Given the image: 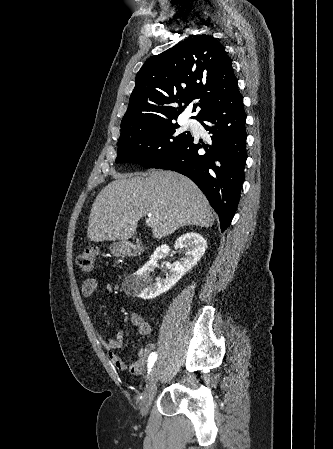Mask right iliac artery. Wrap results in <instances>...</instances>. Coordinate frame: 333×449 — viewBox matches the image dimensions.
<instances>
[{
    "instance_id": "1",
    "label": "right iliac artery",
    "mask_w": 333,
    "mask_h": 449,
    "mask_svg": "<svg viewBox=\"0 0 333 449\" xmlns=\"http://www.w3.org/2000/svg\"><path fill=\"white\" fill-rule=\"evenodd\" d=\"M156 359H157V353L156 352L151 353L149 356V359H148V374L150 373Z\"/></svg>"
}]
</instances>
